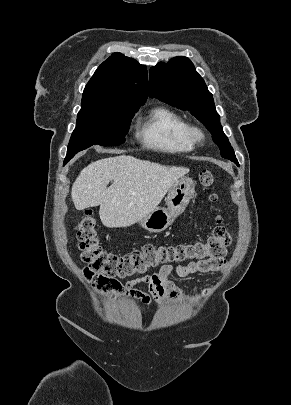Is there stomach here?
I'll return each mask as SVG.
<instances>
[{"label": "stomach", "instance_id": "0dacf381", "mask_svg": "<svg viewBox=\"0 0 291 405\" xmlns=\"http://www.w3.org/2000/svg\"><path fill=\"white\" fill-rule=\"evenodd\" d=\"M195 186L189 177L178 179L169 189L166 207H157L138 221L139 225L149 232L164 231L180 215L194 195Z\"/></svg>", "mask_w": 291, "mask_h": 405}]
</instances>
